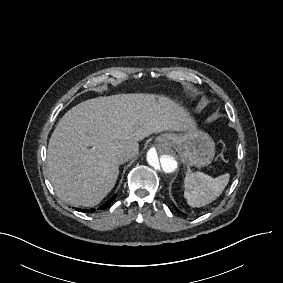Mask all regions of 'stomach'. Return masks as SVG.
<instances>
[{
    "label": "stomach",
    "instance_id": "0dacf381",
    "mask_svg": "<svg viewBox=\"0 0 283 283\" xmlns=\"http://www.w3.org/2000/svg\"><path fill=\"white\" fill-rule=\"evenodd\" d=\"M155 144L160 149L175 148L182 162L188 166H207L215 154L213 140L202 131L164 133L156 137Z\"/></svg>",
    "mask_w": 283,
    "mask_h": 283
}]
</instances>
